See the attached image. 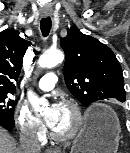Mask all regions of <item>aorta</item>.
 Wrapping results in <instances>:
<instances>
[{
  "mask_svg": "<svg viewBox=\"0 0 130 153\" xmlns=\"http://www.w3.org/2000/svg\"><path fill=\"white\" fill-rule=\"evenodd\" d=\"M64 55L59 50L48 51L44 53L39 59V66L41 68H53L62 63ZM28 100L35 113H44L48 109V101L45 98H39L34 92H28Z\"/></svg>",
  "mask_w": 130,
  "mask_h": 153,
  "instance_id": "1",
  "label": "aorta"
}]
</instances>
